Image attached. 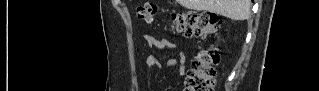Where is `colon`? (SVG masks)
I'll return each instance as SVG.
<instances>
[{
	"instance_id": "obj_1",
	"label": "colon",
	"mask_w": 319,
	"mask_h": 91,
	"mask_svg": "<svg viewBox=\"0 0 319 91\" xmlns=\"http://www.w3.org/2000/svg\"><path fill=\"white\" fill-rule=\"evenodd\" d=\"M137 16L145 23L154 25L158 21V6L153 2L145 3L137 9ZM169 20L174 33L188 36L207 38L216 34L221 27L218 16L210 12H172ZM218 61L219 54L213 47L201 50L186 75L185 90L213 91Z\"/></svg>"
}]
</instances>
